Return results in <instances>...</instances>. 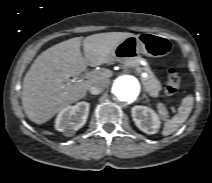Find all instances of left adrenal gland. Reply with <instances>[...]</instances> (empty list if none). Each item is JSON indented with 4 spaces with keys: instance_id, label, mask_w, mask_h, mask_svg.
Listing matches in <instances>:
<instances>
[{
    "instance_id": "left-adrenal-gland-1",
    "label": "left adrenal gland",
    "mask_w": 212,
    "mask_h": 183,
    "mask_svg": "<svg viewBox=\"0 0 212 183\" xmlns=\"http://www.w3.org/2000/svg\"><path fill=\"white\" fill-rule=\"evenodd\" d=\"M143 98H147V96L145 94H143Z\"/></svg>"
}]
</instances>
